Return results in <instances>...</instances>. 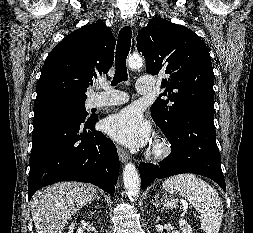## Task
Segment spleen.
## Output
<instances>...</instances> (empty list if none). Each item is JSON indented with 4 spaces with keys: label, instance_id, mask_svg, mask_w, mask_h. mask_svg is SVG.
<instances>
[{
    "label": "spleen",
    "instance_id": "obj_1",
    "mask_svg": "<svg viewBox=\"0 0 253 233\" xmlns=\"http://www.w3.org/2000/svg\"><path fill=\"white\" fill-rule=\"evenodd\" d=\"M168 192H178L201 214V227L205 233H218L223 217V205L218 193L194 174H180L165 180Z\"/></svg>",
    "mask_w": 253,
    "mask_h": 233
}]
</instances>
